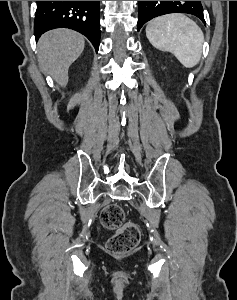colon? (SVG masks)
Segmentation results:
<instances>
[{
  "mask_svg": "<svg viewBox=\"0 0 237 300\" xmlns=\"http://www.w3.org/2000/svg\"><path fill=\"white\" fill-rule=\"evenodd\" d=\"M101 224L114 231L107 241V250L114 255L132 252L140 241V231L131 221H125L123 209L117 204L104 207L100 214Z\"/></svg>",
  "mask_w": 237,
  "mask_h": 300,
  "instance_id": "obj_1",
  "label": "colon"
}]
</instances>
